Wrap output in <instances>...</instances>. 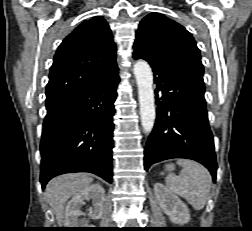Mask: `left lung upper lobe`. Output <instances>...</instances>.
<instances>
[{
  "label": "left lung upper lobe",
  "mask_w": 252,
  "mask_h": 231,
  "mask_svg": "<svg viewBox=\"0 0 252 231\" xmlns=\"http://www.w3.org/2000/svg\"><path fill=\"white\" fill-rule=\"evenodd\" d=\"M133 57L150 64L179 65L203 75L201 55L192 35L160 13L142 19L136 33Z\"/></svg>",
  "instance_id": "1"
}]
</instances>
